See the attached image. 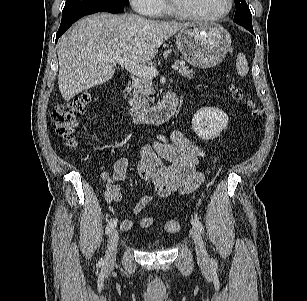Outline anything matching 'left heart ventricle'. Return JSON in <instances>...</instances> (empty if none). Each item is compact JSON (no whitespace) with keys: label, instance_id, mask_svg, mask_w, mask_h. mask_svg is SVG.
I'll return each instance as SVG.
<instances>
[{"label":"left heart ventricle","instance_id":"b2bd125f","mask_svg":"<svg viewBox=\"0 0 307 301\" xmlns=\"http://www.w3.org/2000/svg\"><path fill=\"white\" fill-rule=\"evenodd\" d=\"M189 12L203 15H213L223 12L228 6V0H173Z\"/></svg>","mask_w":307,"mask_h":301}]
</instances>
